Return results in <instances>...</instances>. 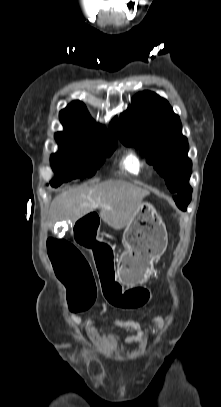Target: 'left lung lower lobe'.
Masks as SVG:
<instances>
[{
  "instance_id": "left-lung-lower-lobe-1",
  "label": "left lung lower lobe",
  "mask_w": 221,
  "mask_h": 407,
  "mask_svg": "<svg viewBox=\"0 0 221 407\" xmlns=\"http://www.w3.org/2000/svg\"><path fill=\"white\" fill-rule=\"evenodd\" d=\"M175 202L177 204V206L182 209V210H186L187 209V205L189 204V202L191 201V194H187V195H183V196H178L175 199Z\"/></svg>"
}]
</instances>
